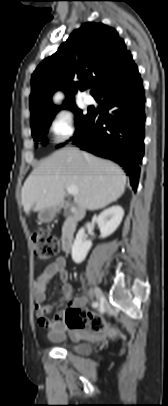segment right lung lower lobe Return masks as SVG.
<instances>
[{
    "label": "right lung lower lobe",
    "instance_id": "1",
    "mask_svg": "<svg viewBox=\"0 0 168 406\" xmlns=\"http://www.w3.org/2000/svg\"><path fill=\"white\" fill-rule=\"evenodd\" d=\"M102 109L92 110L75 134L74 144L123 166L136 191L144 154L145 97L137 67L95 96Z\"/></svg>",
    "mask_w": 168,
    "mask_h": 406
}]
</instances>
